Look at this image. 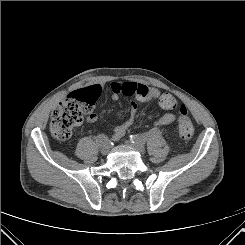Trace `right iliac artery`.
Here are the masks:
<instances>
[{
    "mask_svg": "<svg viewBox=\"0 0 245 245\" xmlns=\"http://www.w3.org/2000/svg\"><path fill=\"white\" fill-rule=\"evenodd\" d=\"M96 142H97L98 146L103 147V146H105V145L108 144V139L106 138L105 135L100 134V135L97 137Z\"/></svg>",
    "mask_w": 245,
    "mask_h": 245,
    "instance_id": "82829eb1",
    "label": "right iliac artery"
}]
</instances>
